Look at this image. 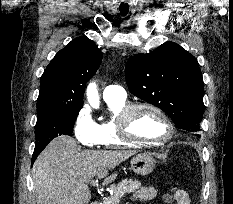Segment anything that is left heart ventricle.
Listing matches in <instances>:
<instances>
[{
  "label": "left heart ventricle",
  "instance_id": "left-heart-ventricle-1",
  "mask_svg": "<svg viewBox=\"0 0 233 204\" xmlns=\"http://www.w3.org/2000/svg\"><path fill=\"white\" fill-rule=\"evenodd\" d=\"M130 130L135 137L145 140H161L168 134L165 122L156 113L147 109L135 113Z\"/></svg>",
  "mask_w": 233,
  "mask_h": 204
}]
</instances>
